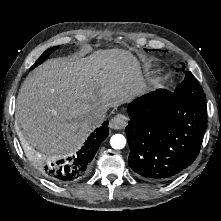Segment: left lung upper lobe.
I'll list each match as a JSON object with an SVG mask.
<instances>
[{
  "mask_svg": "<svg viewBox=\"0 0 221 221\" xmlns=\"http://www.w3.org/2000/svg\"><path fill=\"white\" fill-rule=\"evenodd\" d=\"M174 92L182 97L206 100L202 87L191 72L186 74L184 81L177 86Z\"/></svg>",
  "mask_w": 221,
  "mask_h": 221,
  "instance_id": "obj_1",
  "label": "left lung upper lobe"
}]
</instances>
